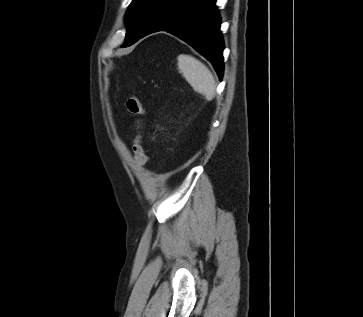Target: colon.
I'll list each match as a JSON object with an SVG mask.
<instances>
[{
	"label": "colon",
	"mask_w": 363,
	"mask_h": 317,
	"mask_svg": "<svg viewBox=\"0 0 363 317\" xmlns=\"http://www.w3.org/2000/svg\"><path fill=\"white\" fill-rule=\"evenodd\" d=\"M126 107L128 111L134 116H141L144 113L141 100L135 95H131L127 98ZM133 156L135 161L139 164H142L146 159L141 134H138L135 138L133 145Z\"/></svg>",
	"instance_id": "obj_1"
}]
</instances>
